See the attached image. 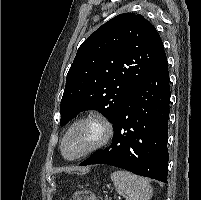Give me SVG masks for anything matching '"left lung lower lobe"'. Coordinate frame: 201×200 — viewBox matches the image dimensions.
<instances>
[{"label": "left lung lower lobe", "instance_id": "0a47b994", "mask_svg": "<svg viewBox=\"0 0 201 200\" xmlns=\"http://www.w3.org/2000/svg\"><path fill=\"white\" fill-rule=\"evenodd\" d=\"M170 94L164 54L119 107L113 143L80 165L107 164L166 182Z\"/></svg>", "mask_w": 201, "mask_h": 200}]
</instances>
